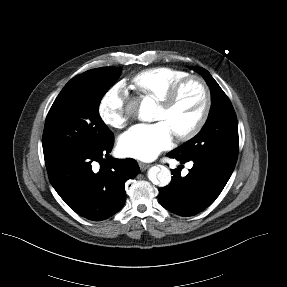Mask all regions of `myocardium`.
<instances>
[{
  "label": "myocardium",
  "mask_w": 287,
  "mask_h": 287,
  "mask_svg": "<svg viewBox=\"0 0 287 287\" xmlns=\"http://www.w3.org/2000/svg\"><path fill=\"white\" fill-rule=\"evenodd\" d=\"M192 82H196L200 85L204 94V106L200 117L190 129L181 133L174 134L176 139L179 141H187L192 139L202 130V128L206 124L212 107V95L210 88L202 77L197 75H189L179 81L177 84H175L167 93V95L159 101V106L164 111L172 110L177 104L185 87Z\"/></svg>",
  "instance_id": "obj_1"
}]
</instances>
